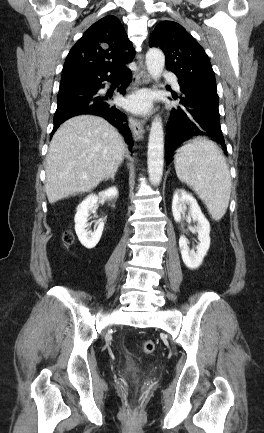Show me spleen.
Masks as SVG:
<instances>
[{
  "label": "spleen",
  "instance_id": "1",
  "mask_svg": "<svg viewBox=\"0 0 264 433\" xmlns=\"http://www.w3.org/2000/svg\"><path fill=\"white\" fill-rule=\"evenodd\" d=\"M178 179L205 203L215 221L228 208L231 193L229 167L222 151L211 140L197 137L180 147L174 159Z\"/></svg>",
  "mask_w": 264,
  "mask_h": 433
}]
</instances>
